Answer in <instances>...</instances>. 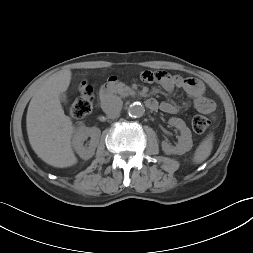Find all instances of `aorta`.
Instances as JSON below:
<instances>
[{
  "label": "aorta",
  "instance_id": "1",
  "mask_svg": "<svg viewBox=\"0 0 253 253\" xmlns=\"http://www.w3.org/2000/svg\"><path fill=\"white\" fill-rule=\"evenodd\" d=\"M145 113V108L140 102H134L128 107V114L131 117L139 118Z\"/></svg>",
  "mask_w": 253,
  "mask_h": 253
}]
</instances>
